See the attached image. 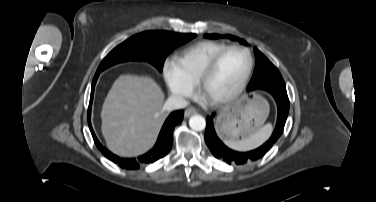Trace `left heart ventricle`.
Listing matches in <instances>:
<instances>
[{
	"label": "left heart ventricle",
	"instance_id": "b2bd125f",
	"mask_svg": "<svg viewBox=\"0 0 376 202\" xmlns=\"http://www.w3.org/2000/svg\"><path fill=\"white\" fill-rule=\"evenodd\" d=\"M248 65L247 55L238 49L229 51L209 79L207 90L211 96H221L235 88Z\"/></svg>",
	"mask_w": 376,
	"mask_h": 202
}]
</instances>
